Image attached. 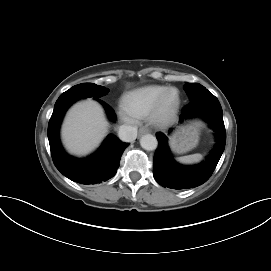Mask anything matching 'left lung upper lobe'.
Wrapping results in <instances>:
<instances>
[{"label": "left lung upper lobe", "mask_w": 271, "mask_h": 271, "mask_svg": "<svg viewBox=\"0 0 271 271\" xmlns=\"http://www.w3.org/2000/svg\"><path fill=\"white\" fill-rule=\"evenodd\" d=\"M185 90L187 94L190 96L191 100L197 99L201 96L211 94L204 86L195 83V84H187L185 86Z\"/></svg>", "instance_id": "5c2ea615"}]
</instances>
